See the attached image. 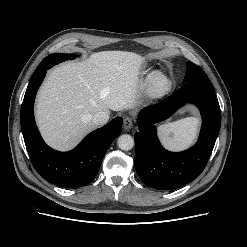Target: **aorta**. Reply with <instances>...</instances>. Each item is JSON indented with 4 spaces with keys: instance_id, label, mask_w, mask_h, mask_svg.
I'll return each instance as SVG.
<instances>
[{
    "instance_id": "1",
    "label": "aorta",
    "mask_w": 247,
    "mask_h": 247,
    "mask_svg": "<svg viewBox=\"0 0 247 247\" xmlns=\"http://www.w3.org/2000/svg\"><path fill=\"white\" fill-rule=\"evenodd\" d=\"M117 145L121 150L128 151L134 146V139L129 134H123L119 136L117 140Z\"/></svg>"
}]
</instances>
